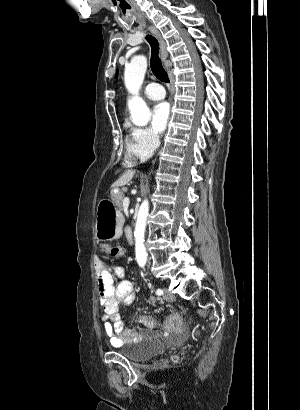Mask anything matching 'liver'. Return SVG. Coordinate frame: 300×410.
Masks as SVG:
<instances>
[{
  "instance_id": "6515ba94",
  "label": "liver",
  "mask_w": 300,
  "mask_h": 410,
  "mask_svg": "<svg viewBox=\"0 0 300 410\" xmlns=\"http://www.w3.org/2000/svg\"><path fill=\"white\" fill-rule=\"evenodd\" d=\"M134 170H127L114 184L113 187L124 186L134 177Z\"/></svg>"
}]
</instances>
